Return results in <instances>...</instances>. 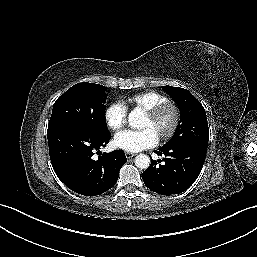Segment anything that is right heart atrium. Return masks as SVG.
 <instances>
[{
  "instance_id": "1",
  "label": "right heart atrium",
  "mask_w": 257,
  "mask_h": 257,
  "mask_svg": "<svg viewBox=\"0 0 257 257\" xmlns=\"http://www.w3.org/2000/svg\"><path fill=\"white\" fill-rule=\"evenodd\" d=\"M106 125L113 132H119L127 121V108L120 101H114L108 105L104 112Z\"/></svg>"
}]
</instances>
